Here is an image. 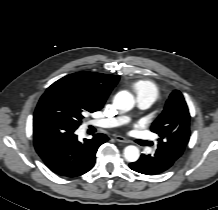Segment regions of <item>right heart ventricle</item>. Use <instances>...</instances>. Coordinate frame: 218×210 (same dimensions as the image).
Returning <instances> with one entry per match:
<instances>
[{
	"label": "right heart ventricle",
	"instance_id": "1",
	"mask_svg": "<svg viewBox=\"0 0 218 210\" xmlns=\"http://www.w3.org/2000/svg\"><path fill=\"white\" fill-rule=\"evenodd\" d=\"M134 90L137 93V95H141L144 93L151 94L154 98V100L158 96V89L155 86L154 83L150 81H138L134 84Z\"/></svg>",
	"mask_w": 218,
	"mask_h": 210
}]
</instances>
